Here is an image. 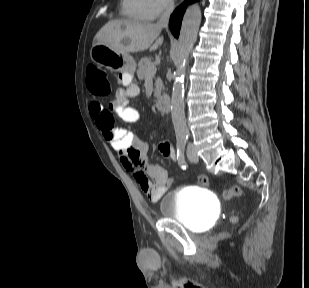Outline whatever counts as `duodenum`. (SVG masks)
<instances>
[{
    "label": "duodenum",
    "instance_id": "duodenum-1",
    "mask_svg": "<svg viewBox=\"0 0 309 288\" xmlns=\"http://www.w3.org/2000/svg\"><path fill=\"white\" fill-rule=\"evenodd\" d=\"M157 108L162 112H168L171 108V99L169 96H161L156 100Z\"/></svg>",
    "mask_w": 309,
    "mask_h": 288
}]
</instances>
